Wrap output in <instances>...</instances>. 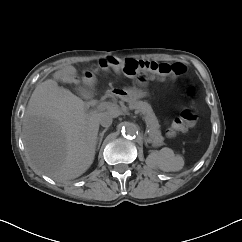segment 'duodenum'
<instances>
[{"label":"duodenum","mask_w":242,"mask_h":242,"mask_svg":"<svg viewBox=\"0 0 242 242\" xmlns=\"http://www.w3.org/2000/svg\"><path fill=\"white\" fill-rule=\"evenodd\" d=\"M112 95H113V93H112L111 91H109V92L106 93L105 96H106V97H111Z\"/></svg>","instance_id":"1"}]
</instances>
